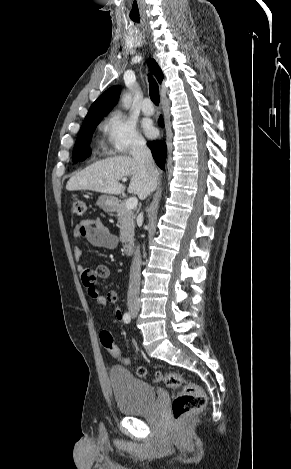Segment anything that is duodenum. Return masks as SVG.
I'll return each instance as SVG.
<instances>
[{
	"label": "duodenum",
	"instance_id": "duodenum-1",
	"mask_svg": "<svg viewBox=\"0 0 291 469\" xmlns=\"http://www.w3.org/2000/svg\"><path fill=\"white\" fill-rule=\"evenodd\" d=\"M124 250H125V253L127 255H130L132 254L133 250H134V244L133 242H128L126 243L125 247H124Z\"/></svg>",
	"mask_w": 291,
	"mask_h": 469
}]
</instances>
